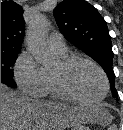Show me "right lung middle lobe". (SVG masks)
<instances>
[{
  "label": "right lung middle lobe",
  "mask_w": 123,
  "mask_h": 130,
  "mask_svg": "<svg viewBox=\"0 0 123 130\" xmlns=\"http://www.w3.org/2000/svg\"><path fill=\"white\" fill-rule=\"evenodd\" d=\"M19 51H1V83L16 88L13 80L12 66L14 65Z\"/></svg>",
  "instance_id": "right-lung-middle-lobe-1"
}]
</instances>
